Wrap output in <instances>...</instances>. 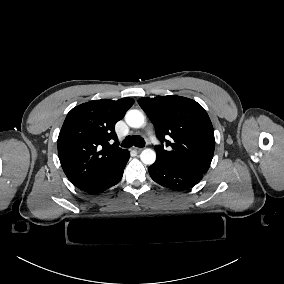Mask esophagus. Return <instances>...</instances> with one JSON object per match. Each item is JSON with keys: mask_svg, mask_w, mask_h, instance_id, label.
I'll use <instances>...</instances> for the list:
<instances>
[{"mask_svg": "<svg viewBox=\"0 0 284 284\" xmlns=\"http://www.w3.org/2000/svg\"><path fill=\"white\" fill-rule=\"evenodd\" d=\"M133 149L137 152H141L143 148L133 147Z\"/></svg>", "mask_w": 284, "mask_h": 284, "instance_id": "esophagus-1", "label": "esophagus"}]
</instances>
